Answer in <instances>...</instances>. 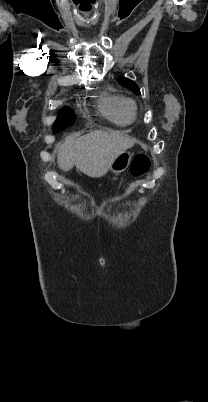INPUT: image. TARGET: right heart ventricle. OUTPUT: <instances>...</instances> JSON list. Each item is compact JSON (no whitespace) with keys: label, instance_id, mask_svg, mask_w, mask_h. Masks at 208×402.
<instances>
[{"label":"right heart ventricle","instance_id":"e07e8e85","mask_svg":"<svg viewBox=\"0 0 208 402\" xmlns=\"http://www.w3.org/2000/svg\"><path fill=\"white\" fill-rule=\"evenodd\" d=\"M98 110L102 116L119 127L130 126L136 119V116L126 110L122 96L108 92L102 93L98 101Z\"/></svg>","mask_w":208,"mask_h":402}]
</instances>
